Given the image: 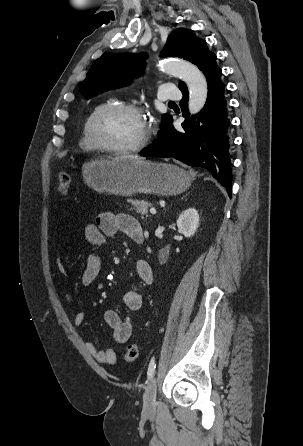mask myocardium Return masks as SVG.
Here are the masks:
<instances>
[{
	"label": "myocardium",
	"instance_id": "obj_1",
	"mask_svg": "<svg viewBox=\"0 0 303 446\" xmlns=\"http://www.w3.org/2000/svg\"><path fill=\"white\" fill-rule=\"evenodd\" d=\"M111 111H127L134 113L138 115L139 117H144L143 110L134 105L129 103H120V102H107L103 105H101L99 108L95 110V112L90 117L89 123H88V136L91 141V143L99 150L111 152V153H118V154H125V153H132L141 150L146 146V144L149 141V130L145 124V130L141 138L128 146L123 147H117V146H111L108 145L100 140V138L97 135V124L100 118Z\"/></svg>",
	"mask_w": 303,
	"mask_h": 446
}]
</instances>
